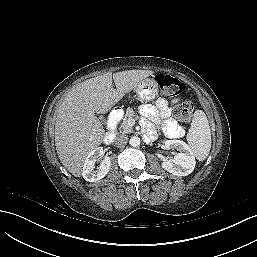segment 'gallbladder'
I'll return each mask as SVG.
<instances>
[{
	"label": "gallbladder",
	"mask_w": 257,
	"mask_h": 257,
	"mask_svg": "<svg viewBox=\"0 0 257 257\" xmlns=\"http://www.w3.org/2000/svg\"><path fill=\"white\" fill-rule=\"evenodd\" d=\"M99 119L103 122L104 121V117L103 116H99Z\"/></svg>",
	"instance_id": "gallbladder-1"
}]
</instances>
